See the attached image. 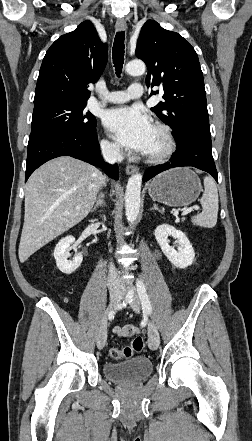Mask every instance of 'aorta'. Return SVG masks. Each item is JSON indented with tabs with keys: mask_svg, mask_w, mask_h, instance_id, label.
<instances>
[{
	"mask_svg": "<svg viewBox=\"0 0 252 441\" xmlns=\"http://www.w3.org/2000/svg\"><path fill=\"white\" fill-rule=\"evenodd\" d=\"M146 70L145 63L141 60H133L126 64L125 71L132 76L142 75ZM142 175L133 174L127 183L125 192V214L127 220L133 224L139 215Z\"/></svg>",
	"mask_w": 252,
	"mask_h": 441,
	"instance_id": "aorta-1",
	"label": "aorta"
}]
</instances>
